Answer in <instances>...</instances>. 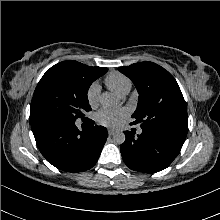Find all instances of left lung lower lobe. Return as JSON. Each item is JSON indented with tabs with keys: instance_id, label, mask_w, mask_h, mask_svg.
<instances>
[{
	"instance_id": "0a47b994",
	"label": "left lung lower lobe",
	"mask_w": 220,
	"mask_h": 220,
	"mask_svg": "<svg viewBox=\"0 0 220 220\" xmlns=\"http://www.w3.org/2000/svg\"><path fill=\"white\" fill-rule=\"evenodd\" d=\"M121 154L125 164L134 171L154 173L167 168L178 156L183 143L165 134L143 130L138 137L125 131Z\"/></svg>"
}]
</instances>
